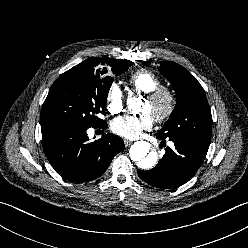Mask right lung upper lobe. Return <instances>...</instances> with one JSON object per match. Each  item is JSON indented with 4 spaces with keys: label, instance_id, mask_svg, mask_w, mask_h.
I'll return each mask as SVG.
<instances>
[{
    "label": "right lung upper lobe",
    "instance_id": "1",
    "mask_svg": "<svg viewBox=\"0 0 248 248\" xmlns=\"http://www.w3.org/2000/svg\"><path fill=\"white\" fill-rule=\"evenodd\" d=\"M123 60H117V59H110V58H89L81 63V65H87V66H104V67H115L121 64Z\"/></svg>",
    "mask_w": 248,
    "mask_h": 248
}]
</instances>
